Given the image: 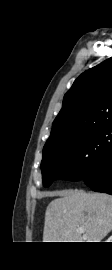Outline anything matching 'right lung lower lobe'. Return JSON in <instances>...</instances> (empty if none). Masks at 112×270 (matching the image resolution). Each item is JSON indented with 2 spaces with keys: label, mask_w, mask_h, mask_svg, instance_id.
Wrapping results in <instances>:
<instances>
[{
  "label": "right lung lower lobe",
  "mask_w": 112,
  "mask_h": 270,
  "mask_svg": "<svg viewBox=\"0 0 112 270\" xmlns=\"http://www.w3.org/2000/svg\"><path fill=\"white\" fill-rule=\"evenodd\" d=\"M83 180L92 190L112 195V146L103 155L97 169L89 172Z\"/></svg>",
  "instance_id": "obj_1"
}]
</instances>
